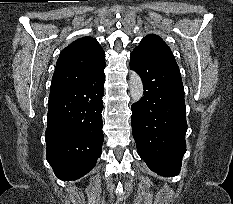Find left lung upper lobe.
<instances>
[{"label":"left lung upper lobe","instance_id":"1","mask_svg":"<svg viewBox=\"0 0 233 204\" xmlns=\"http://www.w3.org/2000/svg\"><path fill=\"white\" fill-rule=\"evenodd\" d=\"M135 49L150 54L154 57L176 63L170 48L157 35H147L141 40L139 46H137Z\"/></svg>","mask_w":233,"mask_h":204}]
</instances>
